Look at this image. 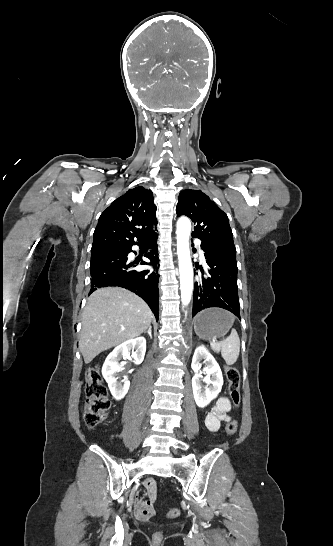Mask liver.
<instances>
[{"label": "liver", "mask_w": 333, "mask_h": 546, "mask_svg": "<svg viewBox=\"0 0 333 546\" xmlns=\"http://www.w3.org/2000/svg\"><path fill=\"white\" fill-rule=\"evenodd\" d=\"M153 314L134 293L119 287L93 292L82 313L79 348L89 364L101 352L140 336Z\"/></svg>", "instance_id": "obj_1"}]
</instances>
